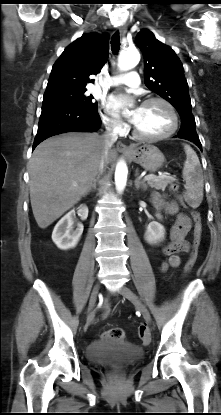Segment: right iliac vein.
Segmentation results:
<instances>
[{"mask_svg":"<svg viewBox=\"0 0 221 415\" xmlns=\"http://www.w3.org/2000/svg\"><path fill=\"white\" fill-rule=\"evenodd\" d=\"M99 288H100L99 284L95 285V287L93 288V291L91 293L90 300H89V306H88V316L89 317H91L92 310H93V308L96 304L97 296H98V293H99Z\"/></svg>","mask_w":221,"mask_h":415,"instance_id":"63e3f726","label":"right iliac vein"}]
</instances>
